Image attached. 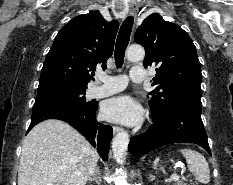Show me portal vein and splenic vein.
Wrapping results in <instances>:
<instances>
[{
  "instance_id": "obj_1",
  "label": "portal vein and splenic vein",
  "mask_w": 233,
  "mask_h": 185,
  "mask_svg": "<svg viewBox=\"0 0 233 185\" xmlns=\"http://www.w3.org/2000/svg\"><path fill=\"white\" fill-rule=\"evenodd\" d=\"M171 179H172V180H179V179H180V176L177 175L176 173H174V174H172Z\"/></svg>"
}]
</instances>
